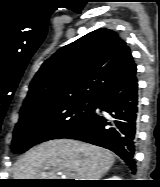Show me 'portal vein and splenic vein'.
Instances as JSON below:
<instances>
[{
	"label": "portal vein and splenic vein",
	"instance_id": "obj_1",
	"mask_svg": "<svg viewBox=\"0 0 160 187\" xmlns=\"http://www.w3.org/2000/svg\"><path fill=\"white\" fill-rule=\"evenodd\" d=\"M67 177H69V179L75 180L76 179V174L75 173H68L65 174Z\"/></svg>",
	"mask_w": 160,
	"mask_h": 187
}]
</instances>
